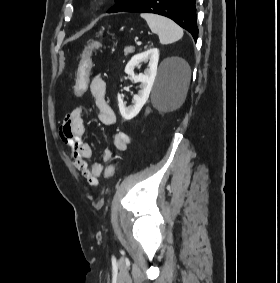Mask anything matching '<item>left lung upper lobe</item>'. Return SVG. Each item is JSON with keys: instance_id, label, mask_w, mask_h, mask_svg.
Masks as SVG:
<instances>
[{"instance_id": "5c2ea615", "label": "left lung upper lobe", "mask_w": 280, "mask_h": 283, "mask_svg": "<svg viewBox=\"0 0 280 283\" xmlns=\"http://www.w3.org/2000/svg\"><path fill=\"white\" fill-rule=\"evenodd\" d=\"M138 0H115V5L111 7L107 12L108 13H115L125 11L127 8L132 6Z\"/></svg>"}]
</instances>
